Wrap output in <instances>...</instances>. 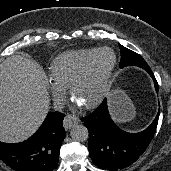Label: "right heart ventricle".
<instances>
[{"instance_id": "right-heart-ventricle-1", "label": "right heart ventricle", "mask_w": 171, "mask_h": 171, "mask_svg": "<svg viewBox=\"0 0 171 171\" xmlns=\"http://www.w3.org/2000/svg\"><path fill=\"white\" fill-rule=\"evenodd\" d=\"M95 50L96 49L92 48L73 50L57 56L52 62L50 68L51 80L66 88L69 87V84L75 74L80 70Z\"/></svg>"}]
</instances>
